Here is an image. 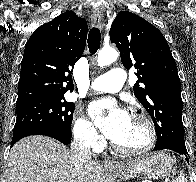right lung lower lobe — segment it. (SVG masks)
<instances>
[{
    "label": "right lung lower lobe",
    "instance_id": "98d812e1",
    "mask_svg": "<svg viewBox=\"0 0 196 182\" xmlns=\"http://www.w3.org/2000/svg\"><path fill=\"white\" fill-rule=\"evenodd\" d=\"M30 135L49 136V137L57 139L58 141L66 145L71 142V137H72V135H69L59 129L46 127V126L33 127V128L25 129L23 131L13 134V138L11 141V147L21 138H24Z\"/></svg>",
    "mask_w": 196,
    "mask_h": 182
}]
</instances>
